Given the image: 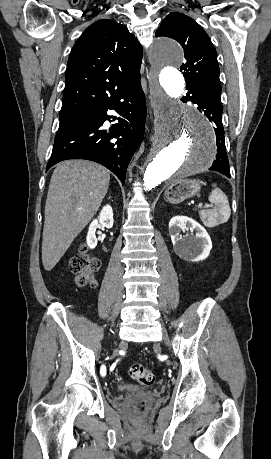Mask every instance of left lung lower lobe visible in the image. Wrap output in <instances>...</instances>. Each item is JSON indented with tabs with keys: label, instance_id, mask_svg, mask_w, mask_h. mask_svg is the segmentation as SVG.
Masks as SVG:
<instances>
[{
	"label": "left lung lower lobe",
	"instance_id": "left-lung-lower-lobe-1",
	"mask_svg": "<svg viewBox=\"0 0 271 459\" xmlns=\"http://www.w3.org/2000/svg\"><path fill=\"white\" fill-rule=\"evenodd\" d=\"M214 92L210 88L197 90L188 89L186 100L196 103L198 110L203 111L205 116L215 126L217 155L209 170H216L230 178L229 161L225 147L224 129L222 125V104L220 100L214 99Z\"/></svg>",
	"mask_w": 271,
	"mask_h": 459
}]
</instances>
